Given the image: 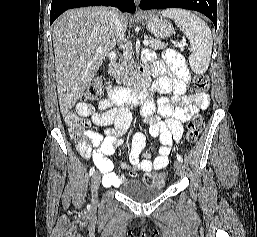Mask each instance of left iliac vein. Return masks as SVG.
Here are the masks:
<instances>
[{"label": "left iliac vein", "mask_w": 257, "mask_h": 237, "mask_svg": "<svg viewBox=\"0 0 257 237\" xmlns=\"http://www.w3.org/2000/svg\"><path fill=\"white\" fill-rule=\"evenodd\" d=\"M174 168L178 176L184 175V172H185L184 166L180 161L177 160L174 162Z\"/></svg>", "instance_id": "4c4485c4"}]
</instances>
